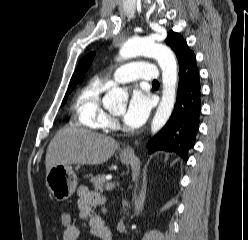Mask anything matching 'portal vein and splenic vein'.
I'll use <instances>...</instances> for the list:
<instances>
[{
  "mask_svg": "<svg viewBox=\"0 0 248 240\" xmlns=\"http://www.w3.org/2000/svg\"><path fill=\"white\" fill-rule=\"evenodd\" d=\"M115 183H110L109 185L106 186L107 190H110L114 187Z\"/></svg>",
  "mask_w": 248,
  "mask_h": 240,
  "instance_id": "portal-vein-and-splenic-vein-1",
  "label": "portal vein and splenic vein"
}]
</instances>
